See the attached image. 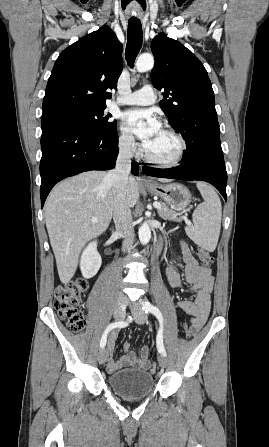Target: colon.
I'll use <instances>...</instances> for the list:
<instances>
[{"mask_svg": "<svg viewBox=\"0 0 269 447\" xmlns=\"http://www.w3.org/2000/svg\"><path fill=\"white\" fill-rule=\"evenodd\" d=\"M195 255L199 262L205 267L211 266L214 262L213 256L202 248H197ZM87 288L88 281L84 278H78L55 290L54 306L63 323L75 332H83L86 327V319L81 307L82 296ZM180 326L183 329L188 327L185 321H182ZM187 333L188 332L185 331L184 338L192 339V334ZM143 353L146 354L147 349H144ZM146 369L150 373H155L157 365L155 363H150Z\"/></svg>", "mask_w": 269, "mask_h": 447, "instance_id": "obj_1", "label": "colon"}]
</instances>
